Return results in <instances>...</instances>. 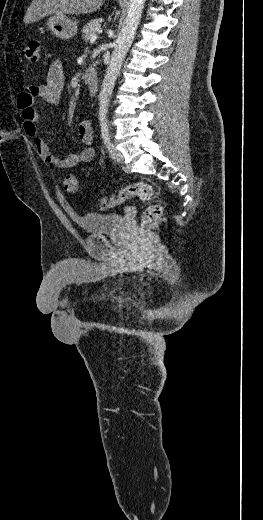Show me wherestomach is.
<instances>
[{
  "instance_id": "0dacf381",
  "label": "stomach",
  "mask_w": 263,
  "mask_h": 520,
  "mask_svg": "<svg viewBox=\"0 0 263 520\" xmlns=\"http://www.w3.org/2000/svg\"><path fill=\"white\" fill-rule=\"evenodd\" d=\"M46 29L61 39H69L76 35L77 23L65 15L53 14L46 21Z\"/></svg>"
}]
</instances>
